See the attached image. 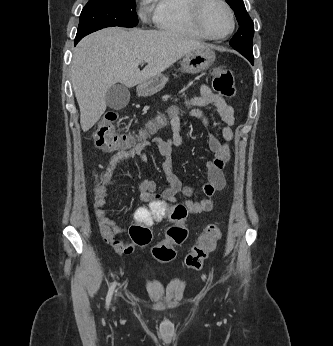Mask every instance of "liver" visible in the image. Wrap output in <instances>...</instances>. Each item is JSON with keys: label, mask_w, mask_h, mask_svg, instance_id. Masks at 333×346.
I'll return each mask as SVG.
<instances>
[{"label": "liver", "mask_w": 333, "mask_h": 346, "mask_svg": "<svg viewBox=\"0 0 333 346\" xmlns=\"http://www.w3.org/2000/svg\"><path fill=\"white\" fill-rule=\"evenodd\" d=\"M208 47L172 31L106 28L84 37L71 63V82L88 131L106 110L107 90L121 83L134 87L161 74L187 53ZM146 62L142 71L139 65Z\"/></svg>", "instance_id": "obj_1"}]
</instances>
